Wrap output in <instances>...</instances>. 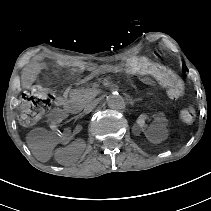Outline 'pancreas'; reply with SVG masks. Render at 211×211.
I'll return each instance as SVG.
<instances>
[{"label": "pancreas", "mask_w": 211, "mask_h": 211, "mask_svg": "<svg viewBox=\"0 0 211 211\" xmlns=\"http://www.w3.org/2000/svg\"><path fill=\"white\" fill-rule=\"evenodd\" d=\"M101 90L98 86L93 85L89 89H75L70 92L71 99L68 102V105L73 110H78L82 105L87 104L93 98H96L100 95Z\"/></svg>", "instance_id": "obj_1"}]
</instances>
